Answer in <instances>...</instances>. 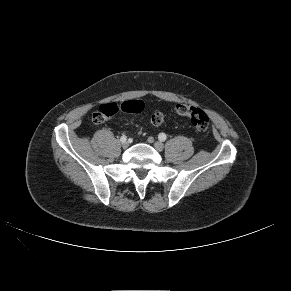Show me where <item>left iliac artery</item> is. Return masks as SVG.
Returning a JSON list of instances; mask_svg holds the SVG:
<instances>
[{"instance_id": "1", "label": "left iliac artery", "mask_w": 291, "mask_h": 291, "mask_svg": "<svg viewBox=\"0 0 291 291\" xmlns=\"http://www.w3.org/2000/svg\"><path fill=\"white\" fill-rule=\"evenodd\" d=\"M158 138H159L160 141L164 142L166 140V134L165 133H160Z\"/></svg>"}]
</instances>
